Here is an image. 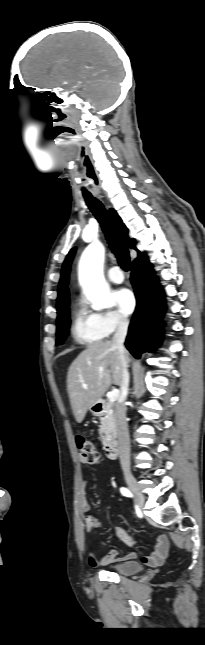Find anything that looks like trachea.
<instances>
[{
    "instance_id": "obj_1",
    "label": "trachea",
    "mask_w": 205,
    "mask_h": 645,
    "mask_svg": "<svg viewBox=\"0 0 205 645\" xmlns=\"http://www.w3.org/2000/svg\"><path fill=\"white\" fill-rule=\"evenodd\" d=\"M84 199L90 211L99 221L108 244L117 258L119 265L123 270L128 271L130 267L129 252L123 240L119 236L107 210L104 208L103 204L93 196H84Z\"/></svg>"
}]
</instances>
